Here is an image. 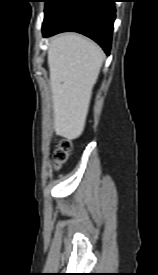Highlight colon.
<instances>
[{
	"label": "colon",
	"instance_id": "1",
	"mask_svg": "<svg viewBox=\"0 0 158 275\" xmlns=\"http://www.w3.org/2000/svg\"><path fill=\"white\" fill-rule=\"evenodd\" d=\"M72 148V143L68 139H64L58 144V147L54 153L56 167H60L68 160Z\"/></svg>",
	"mask_w": 158,
	"mask_h": 275
}]
</instances>
